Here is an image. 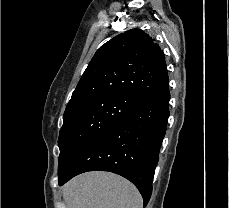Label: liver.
Wrapping results in <instances>:
<instances>
[{
	"mask_svg": "<svg viewBox=\"0 0 229 208\" xmlns=\"http://www.w3.org/2000/svg\"><path fill=\"white\" fill-rule=\"evenodd\" d=\"M68 208H143L137 188L110 172H87L62 188Z\"/></svg>",
	"mask_w": 229,
	"mask_h": 208,
	"instance_id": "obj_1",
	"label": "liver"
}]
</instances>
